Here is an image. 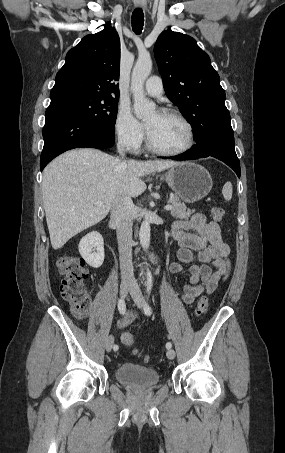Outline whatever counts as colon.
Returning a JSON list of instances; mask_svg holds the SVG:
<instances>
[{
	"instance_id": "5ec220e1",
	"label": "colon",
	"mask_w": 285,
	"mask_h": 453,
	"mask_svg": "<svg viewBox=\"0 0 285 453\" xmlns=\"http://www.w3.org/2000/svg\"><path fill=\"white\" fill-rule=\"evenodd\" d=\"M210 213L216 221H220L223 218L224 210L219 206H212ZM56 267L63 276L60 286L62 297L71 304L75 314L84 316L91 303L90 294L85 285L88 274L84 260L74 255H63L57 259ZM208 307V297L201 296L195 308L196 315H204L208 311ZM121 342L125 346H131L134 343V336L125 332L121 336Z\"/></svg>"
}]
</instances>
